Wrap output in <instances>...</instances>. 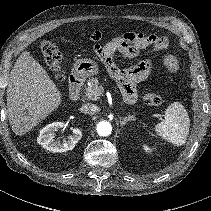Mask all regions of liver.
<instances>
[{
    "label": "liver",
    "mask_w": 211,
    "mask_h": 211,
    "mask_svg": "<svg viewBox=\"0 0 211 211\" xmlns=\"http://www.w3.org/2000/svg\"><path fill=\"white\" fill-rule=\"evenodd\" d=\"M62 94L45 69L24 51L7 86V116L12 131L24 135L61 104Z\"/></svg>",
    "instance_id": "1"
}]
</instances>
